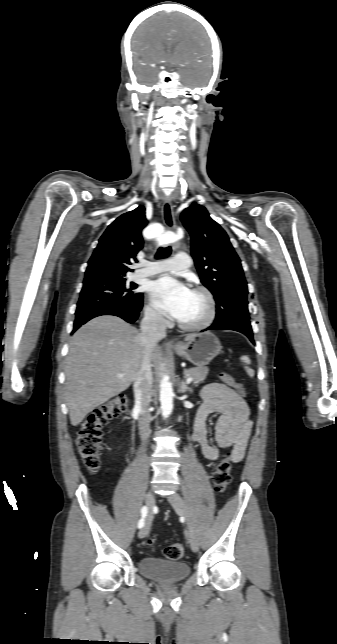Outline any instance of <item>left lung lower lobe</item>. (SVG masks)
<instances>
[{"label":"left lung lower lobe","instance_id":"left-lung-lower-lobe-1","mask_svg":"<svg viewBox=\"0 0 337 644\" xmlns=\"http://www.w3.org/2000/svg\"><path fill=\"white\" fill-rule=\"evenodd\" d=\"M206 330H234V331H237V332H240V333L245 334V335L250 339V341L254 344V339H253V334H252V333H250V334H246V333H244L243 331H241V330H239V329H237V328H234V327H232V326H229V325H217V324H212V325H211L210 327H208Z\"/></svg>","mask_w":337,"mask_h":644}]
</instances>
